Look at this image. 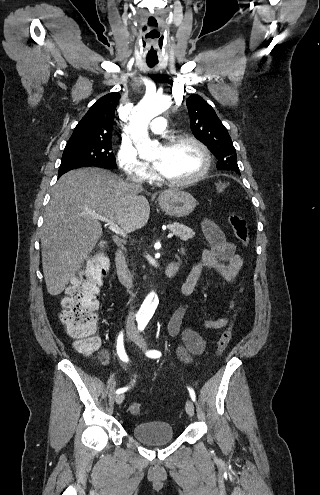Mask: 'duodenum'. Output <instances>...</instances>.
Here are the masks:
<instances>
[{
	"label": "duodenum",
	"mask_w": 320,
	"mask_h": 495,
	"mask_svg": "<svg viewBox=\"0 0 320 495\" xmlns=\"http://www.w3.org/2000/svg\"><path fill=\"white\" fill-rule=\"evenodd\" d=\"M181 254L182 255L184 254L183 250L181 251ZM115 263H116V269H117L118 277H119L121 283L124 284L125 286H131L132 285V278H131L130 271H129V268H128V265H127V262L125 259L124 252L121 249L117 250V252H116ZM180 263H181V260L177 259V260L170 262L166 266L165 273H164V279L165 280H170V279L175 277V275L177 274V272L179 270Z\"/></svg>",
	"instance_id": "obj_1"
}]
</instances>
